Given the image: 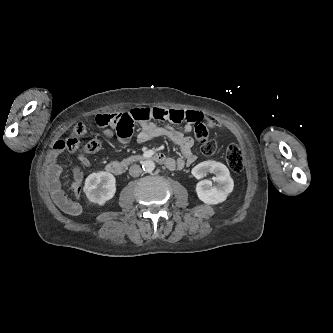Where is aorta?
I'll use <instances>...</instances> for the list:
<instances>
[{"instance_id":"762f6f07","label":"aorta","mask_w":333,"mask_h":333,"mask_svg":"<svg viewBox=\"0 0 333 333\" xmlns=\"http://www.w3.org/2000/svg\"><path fill=\"white\" fill-rule=\"evenodd\" d=\"M142 168L145 172H152L155 169V163L152 160H145L142 163Z\"/></svg>"}]
</instances>
